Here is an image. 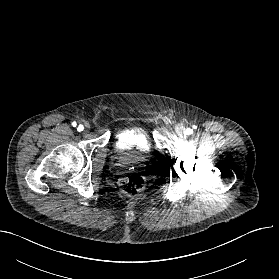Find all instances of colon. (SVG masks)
Segmentation results:
<instances>
[{"instance_id":"obj_1","label":"colon","mask_w":279,"mask_h":279,"mask_svg":"<svg viewBox=\"0 0 279 279\" xmlns=\"http://www.w3.org/2000/svg\"><path fill=\"white\" fill-rule=\"evenodd\" d=\"M121 190L130 197H136L142 193L145 188V180L138 175H130L120 179Z\"/></svg>"}]
</instances>
